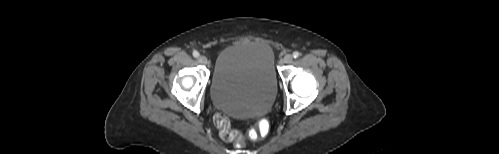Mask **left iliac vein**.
Here are the masks:
<instances>
[{"mask_svg": "<svg viewBox=\"0 0 499 154\" xmlns=\"http://www.w3.org/2000/svg\"><path fill=\"white\" fill-rule=\"evenodd\" d=\"M292 60H293L292 55H291V54H287V55H285V56H284V58H283V63L289 64V63H291V62H292Z\"/></svg>", "mask_w": 499, "mask_h": 154, "instance_id": "left-iliac-vein-1", "label": "left iliac vein"}]
</instances>
